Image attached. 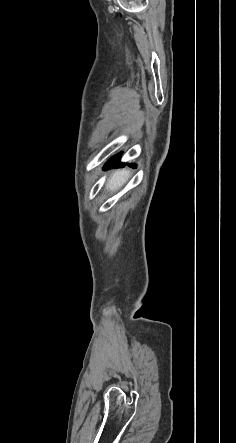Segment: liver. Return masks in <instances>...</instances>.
<instances>
[{
	"instance_id": "1",
	"label": "liver",
	"mask_w": 236,
	"mask_h": 443,
	"mask_svg": "<svg viewBox=\"0 0 236 443\" xmlns=\"http://www.w3.org/2000/svg\"><path fill=\"white\" fill-rule=\"evenodd\" d=\"M129 177L130 171L128 169H122L114 172L106 183V189L111 192L119 190L127 182Z\"/></svg>"
}]
</instances>
